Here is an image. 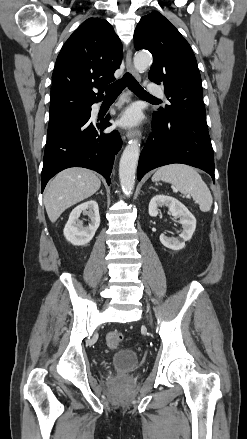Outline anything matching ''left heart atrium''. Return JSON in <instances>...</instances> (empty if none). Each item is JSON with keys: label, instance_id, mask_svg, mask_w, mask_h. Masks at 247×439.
<instances>
[{"label": "left heart atrium", "instance_id": "39dd6f15", "mask_svg": "<svg viewBox=\"0 0 247 439\" xmlns=\"http://www.w3.org/2000/svg\"><path fill=\"white\" fill-rule=\"evenodd\" d=\"M140 113L135 107L127 109L120 118V123L123 126H134L139 123Z\"/></svg>", "mask_w": 247, "mask_h": 439}]
</instances>
